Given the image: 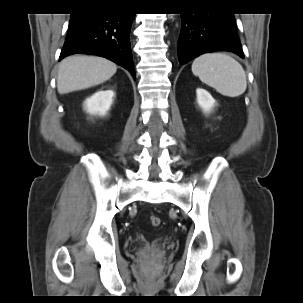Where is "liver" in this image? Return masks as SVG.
<instances>
[{"label":"liver","mask_w":303,"mask_h":303,"mask_svg":"<svg viewBox=\"0 0 303 303\" xmlns=\"http://www.w3.org/2000/svg\"><path fill=\"white\" fill-rule=\"evenodd\" d=\"M116 71V64L102 57L70 56L59 64L57 89L60 94L86 89L107 81Z\"/></svg>","instance_id":"6515ba94"}]
</instances>
